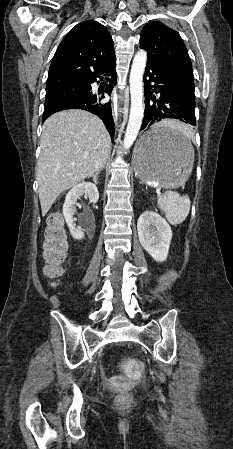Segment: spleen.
<instances>
[{"label": "spleen", "instance_id": "obj_1", "mask_svg": "<svg viewBox=\"0 0 233 449\" xmlns=\"http://www.w3.org/2000/svg\"><path fill=\"white\" fill-rule=\"evenodd\" d=\"M177 129L178 133H185L188 137L190 131L189 124L186 125H166ZM158 205L165 213V217L172 225L181 224L190 211V199L187 195L181 196L178 192L166 191L158 197Z\"/></svg>", "mask_w": 233, "mask_h": 449}]
</instances>
